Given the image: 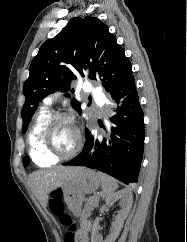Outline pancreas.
Wrapping results in <instances>:
<instances>
[{
  "label": "pancreas",
  "instance_id": "cf45deb5",
  "mask_svg": "<svg viewBox=\"0 0 187 242\" xmlns=\"http://www.w3.org/2000/svg\"><path fill=\"white\" fill-rule=\"evenodd\" d=\"M99 197L97 195L91 196L86 199V204L84 206L83 214L89 215L90 212L98 206Z\"/></svg>",
  "mask_w": 187,
  "mask_h": 242
}]
</instances>
